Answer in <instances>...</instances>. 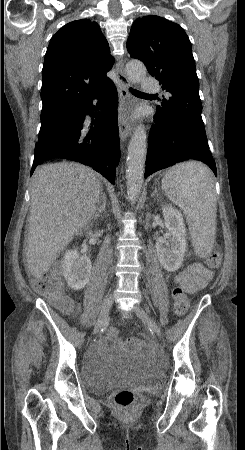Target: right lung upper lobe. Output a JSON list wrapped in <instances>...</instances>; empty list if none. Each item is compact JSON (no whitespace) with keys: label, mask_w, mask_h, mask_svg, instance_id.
I'll return each instance as SVG.
<instances>
[{"label":"right lung upper lobe","mask_w":245,"mask_h":450,"mask_svg":"<svg viewBox=\"0 0 245 450\" xmlns=\"http://www.w3.org/2000/svg\"><path fill=\"white\" fill-rule=\"evenodd\" d=\"M114 58L96 22L72 21L50 40L42 70V112L64 110L110 81Z\"/></svg>","instance_id":"1"}]
</instances>
